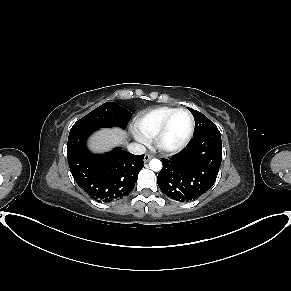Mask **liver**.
Masks as SVG:
<instances>
[{
	"mask_svg": "<svg viewBox=\"0 0 291 291\" xmlns=\"http://www.w3.org/2000/svg\"><path fill=\"white\" fill-rule=\"evenodd\" d=\"M126 132L114 128L112 131H102L90 141V148L93 152H105L123 141H125Z\"/></svg>",
	"mask_w": 291,
	"mask_h": 291,
	"instance_id": "6515ba94",
	"label": "liver"
}]
</instances>
